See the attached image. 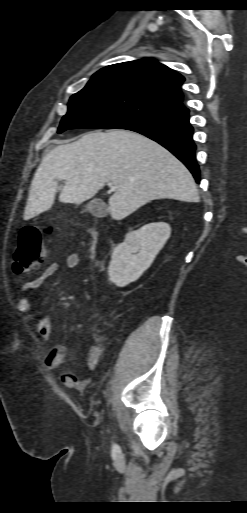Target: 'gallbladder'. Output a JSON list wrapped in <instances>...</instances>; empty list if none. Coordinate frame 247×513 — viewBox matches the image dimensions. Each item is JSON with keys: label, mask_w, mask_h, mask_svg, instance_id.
Listing matches in <instances>:
<instances>
[{"label": "gallbladder", "mask_w": 247, "mask_h": 513, "mask_svg": "<svg viewBox=\"0 0 247 513\" xmlns=\"http://www.w3.org/2000/svg\"><path fill=\"white\" fill-rule=\"evenodd\" d=\"M85 207V212H90L96 217H105L109 212L107 205L98 198L91 200Z\"/></svg>", "instance_id": "1"}]
</instances>
